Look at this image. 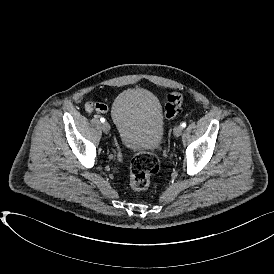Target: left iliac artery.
I'll return each mask as SVG.
<instances>
[{"instance_id": "obj_1", "label": "left iliac artery", "mask_w": 274, "mask_h": 274, "mask_svg": "<svg viewBox=\"0 0 274 274\" xmlns=\"http://www.w3.org/2000/svg\"><path fill=\"white\" fill-rule=\"evenodd\" d=\"M181 126H182L183 128H185V127H186V123L183 122V123L181 124Z\"/></svg>"}]
</instances>
